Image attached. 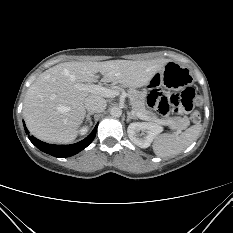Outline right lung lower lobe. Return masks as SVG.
I'll return each instance as SVG.
<instances>
[{"mask_svg":"<svg viewBox=\"0 0 233 233\" xmlns=\"http://www.w3.org/2000/svg\"><path fill=\"white\" fill-rule=\"evenodd\" d=\"M97 126L98 125L95 126L94 130L84 140L71 145H52L42 142L33 136H28V138L38 149H40L45 153H48L55 157H69L77 154L78 152L86 148L93 141L96 135ZM24 128L26 134L29 135V131L27 130L25 124H24Z\"/></svg>","mask_w":233,"mask_h":233,"instance_id":"1","label":"right lung lower lobe"}]
</instances>
